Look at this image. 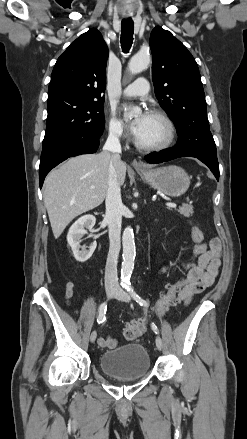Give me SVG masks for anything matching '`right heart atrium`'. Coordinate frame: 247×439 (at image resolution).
<instances>
[{
	"label": "right heart atrium",
	"mask_w": 247,
	"mask_h": 439,
	"mask_svg": "<svg viewBox=\"0 0 247 439\" xmlns=\"http://www.w3.org/2000/svg\"><path fill=\"white\" fill-rule=\"evenodd\" d=\"M107 132L111 138L117 140L125 139L127 136L123 123L114 113L108 119Z\"/></svg>",
	"instance_id": "obj_1"
}]
</instances>
